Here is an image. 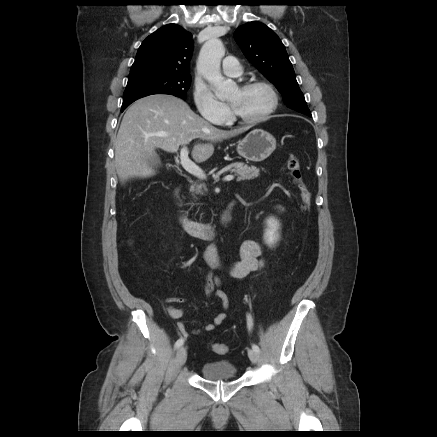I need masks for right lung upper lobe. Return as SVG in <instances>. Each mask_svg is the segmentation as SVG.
<instances>
[{"label": "right lung upper lobe", "instance_id": "right-lung-upper-lobe-1", "mask_svg": "<svg viewBox=\"0 0 437 437\" xmlns=\"http://www.w3.org/2000/svg\"><path fill=\"white\" fill-rule=\"evenodd\" d=\"M192 48L190 32L176 24L165 25L143 41L130 72L150 70L190 75Z\"/></svg>", "mask_w": 437, "mask_h": 437}]
</instances>
